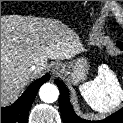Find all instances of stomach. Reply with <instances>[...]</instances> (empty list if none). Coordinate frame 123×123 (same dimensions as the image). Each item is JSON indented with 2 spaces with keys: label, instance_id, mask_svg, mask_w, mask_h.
I'll return each mask as SVG.
<instances>
[{
  "label": "stomach",
  "instance_id": "1",
  "mask_svg": "<svg viewBox=\"0 0 123 123\" xmlns=\"http://www.w3.org/2000/svg\"><path fill=\"white\" fill-rule=\"evenodd\" d=\"M72 69L70 73L71 80L77 84L85 79L88 72V62L85 58H77L69 64Z\"/></svg>",
  "mask_w": 123,
  "mask_h": 123
}]
</instances>
